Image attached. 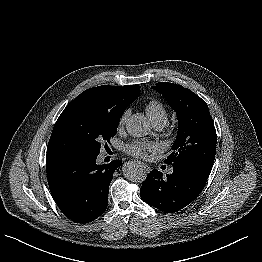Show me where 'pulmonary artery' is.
Returning a JSON list of instances; mask_svg holds the SVG:
<instances>
[{
  "instance_id": "e3ab8cb5",
  "label": "pulmonary artery",
  "mask_w": 262,
  "mask_h": 262,
  "mask_svg": "<svg viewBox=\"0 0 262 262\" xmlns=\"http://www.w3.org/2000/svg\"><path fill=\"white\" fill-rule=\"evenodd\" d=\"M154 127H155L156 130H162L163 127H164V125L161 124V123H157V124H154ZM172 172H173V169L170 168V169L168 170V173L171 174Z\"/></svg>"
}]
</instances>
